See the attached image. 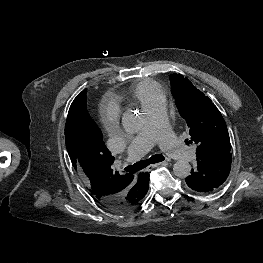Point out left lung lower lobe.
I'll return each mask as SVG.
<instances>
[{
	"mask_svg": "<svg viewBox=\"0 0 263 263\" xmlns=\"http://www.w3.org/2000/svg\"><path fill=\"white\" fill-rule=\"evenodd\" d=\"M230 152L197 158L196 166L186 178L187 185L199 193H210L217 190L227 179L231 169Z\"/></svg>",
	"mask_w": 263,
	"mask_h": 263,
	"instance_id": "obj_1",
	"label": "left lung lower lobe"
}]
</instances>
